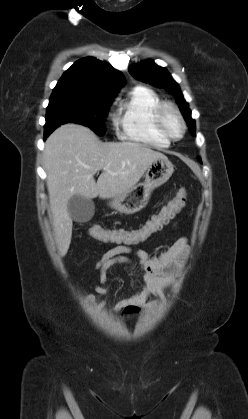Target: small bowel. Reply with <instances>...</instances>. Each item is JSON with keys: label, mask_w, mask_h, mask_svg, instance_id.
Segmentation results:
<instances>
[{"label": "small bowel", "mask_w": 248, "mask_h": 419, "mask_svg": "<svg viewBox=\"0 0 248 419\" xmlns=\"http://www.w3.org/2000/svg\"><path fill=\"white\" fill-rule=\"evenodd\" d=\"M147 223L134 230L121 231L129 235H136L144 230ZM153 233L138 237L129 243H120L104 253L95 265L100 281V284L95 286V291L100 295H105L108 293L109 269L119 264L133 266L134 264L128 258V255H134L139 259L143 272V287L132 296L118 301L112 309L116 312L123 311L125 317L136 315L142 308L152 307L155 303L149 302V297L151 295L163 296L167 289L174 284L188 258L189 245L186 237L179 238L166 251L152 257L145 251L133 247V244L146 240ZM88 299L93 301V295H89Z\"/></svg>", "instance_id": "small-bowel-1"}]
</instances>
